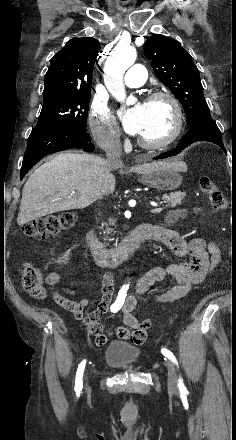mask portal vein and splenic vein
Returning <instances> with one entry per match:
<instances>
[{"label": "portal vein and splenic vein", "mask_w": 236, "mask_h": 440, "mask_svg": "<svg viewBox=\"0 0 236 440\" xmlns=\"http://www.w3.org/2000/svg\"><path fill=\"white\" fill-rule=\"evenodd\" d=\"M163 210L162 207H155L150 210L151 213H159Z\"/></svg>", "instance_id": "1"}]
</instances>
